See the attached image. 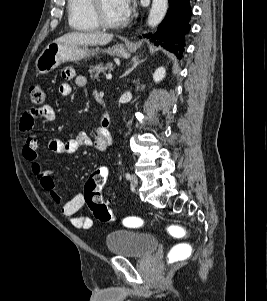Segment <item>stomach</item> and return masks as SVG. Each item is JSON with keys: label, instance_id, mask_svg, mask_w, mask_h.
I'll return each mask as SVG.
<instances>
[{"label": "stomach", "instance_id": "obj_1", "mask_svg": "<svg viewBox=\"0 0 267 301\" xmlns=\"http://www.w3.org/2000/svg\"><path fill=\"white\" fill-rule=\"evenodd\" d=\"M99 50V48L89 49L86 45L52 42L46 46L37 58L36 70L40 74H47L64 62L82 60L96 54ZM103 52L123 58L130 56L128 49L122 44L109 47Z\"/></svg>", "mask_w": 267, "mask_h": 301}]
</instances>
